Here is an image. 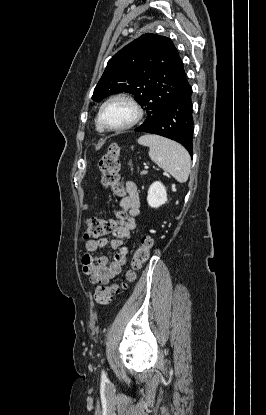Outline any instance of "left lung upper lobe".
Masks as SVG:
<instances>
[{
  "instance_id": "left-lung-upper-lobe-1",
  "label": "left lung upper lobe",
  "mask_w": 266,
  "mask_h": 415,
  "mask_svg": "<svg viewBox=\"0 0 266 415\" xmlns=\"http://www.w3.org/2000/svg\"><path fill=\"white\" fill-rule=\"evenodd\" d=\"M187 80L183 62L173 42L157 34H144L122 48L107 63L94 89L99 102L114 93L127 92L146 110L138 128L153 123Z\"/></svg>"
}]
</instances>
